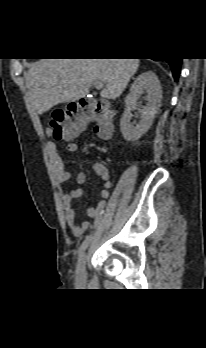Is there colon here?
<instances>
[{
    "mask_svg": "<svg viewBox=\"0 0 206 348\" xmlns=\"http://www.w3.org/2000/svg\"><path fill=\"white\" fill-rule=\"evenodd\" d=\"M113 118V110L108 104L82 98L52 113L51 137L56 141L72 139L89 123H94L96 134L108 138L113 130Z\"/></svg>",
    "mask_w": 206,
    "mask_h": 348,
    "instance_id": "obj_1",
    "label": "colon"
}]
</instances>
